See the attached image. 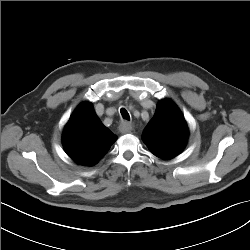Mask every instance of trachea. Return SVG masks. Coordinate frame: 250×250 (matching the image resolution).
<instances>
[{"mask_svg":"<svg viewBox=\"0 0 250 250\" xmlns=\"http://www.w3.org/2000/svg\"><path fill=\"white\" fill-rule=\"evenodd\" d=\"M120 112H121V115H122V117H123L124 119L130 120L129 113L127 112L126 109L122 108V109L120 110Z\"/></svg>","mask_w":250,"mask_h":250,"instance_id":"obj_1","label":"trachea"}]
</instances>
